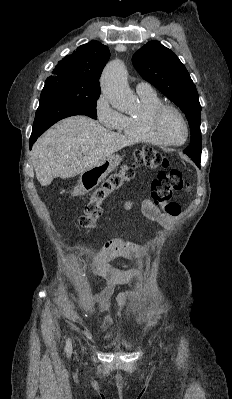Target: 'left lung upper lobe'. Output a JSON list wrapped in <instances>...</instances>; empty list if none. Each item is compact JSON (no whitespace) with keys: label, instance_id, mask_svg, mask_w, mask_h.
<instances>
[{"label":"left lung upper lobe","instance_id":"1","mask_svg":"<svg viewBox=\"0 0 232 399\" xmlns=\"http://www.w3.org/2000/svg\"><path fill=\"white\" fill-rule=\"evenodd\" d=\"M143 79L159 89L186 115L191 142L184 150L197 165L201 161V105L196 86L179 58L159 41H150L132 57Z\"/></svg>","mask_w":232,"mask_h":399}]
</instances>
